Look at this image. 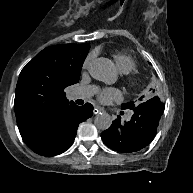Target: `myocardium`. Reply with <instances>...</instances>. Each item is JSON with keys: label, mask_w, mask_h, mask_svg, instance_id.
<instances>
[{"label": "myocardium", "mask_w": 193, "mask_h": 193, "mask_svg": "<svg viewBox=\"0 0 193 193\" xmlns=\"http://www.w3.org/2000/svg\"><path fill=\"white\" fill-rule=\"evenodd\" d=\"M126 83H127L129 86H134V82H133L131 79H127V80H126Z\"/></svg>", "instance_id": "obj_1"}]
</instances>
